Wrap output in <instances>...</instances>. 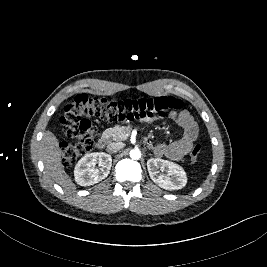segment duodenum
<instances>
[{"mask_svg":"<svg viewBox=\"0 0 267 267\" xmlns=\"http://www.w3.org/2000/svg\"><path fill=\"white\" fill-rule=\"evenodd\" d=\"M107 142H108V140H107L106 137L99 138L98 141H97V144H96L97 148L98 149H104L106 147V145H107Z\"/></svg>","mask_w":267,"mask_h":267,"instance_id":"410a0bca","label":"duodenum"}]
</instances>
